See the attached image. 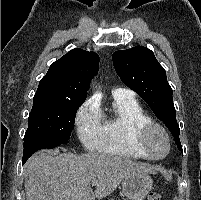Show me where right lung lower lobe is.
Returning <instances> with one entry per match:
<instances>
[{
	"label": "right lung lower lobe",
	"instance_id": "right-lung-lower-lobe-1",
	"mask_svg": "<svg viewBox=\"0 0 201 200\" xmlns=\"http://www.w3.org/2000/svg\"><path fill=\"white\" fill-rule=\"evenodd\" d=\"M68 143L67 140H51L42 137H35L24 139V153L22 163L24 164L28 158L37 150L40 149H51L61 144Z\"/></svg>",
	"mask_w": 201,
	"mask_h": 200
}]
</instances>
